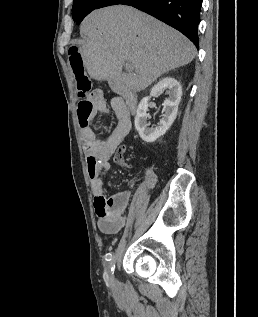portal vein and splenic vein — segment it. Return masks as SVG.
<instances>
[{"instance_id": "portal-vein-and-splenic-vein-1", "label": "portal vein and splenic vein", "mask_w": 258, "mask_h": 317, "mask_svg": "<svg viewBox=\"0 0 258 317\" xmlns=\"http://www.w3.org/2000/svg\"><path fill=\"white\" fill-rule=\"evenodd\" d=\"M126 68H128V70H129V68H131V64H130V62H128V60L126 62Z\"/></svg>"}]
</instances>
